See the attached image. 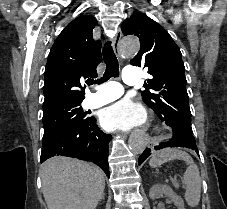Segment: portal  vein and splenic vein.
<instances>
[{
	"label": "portal vein and splenic vein",
	"mask_w": 227,
	"mask_h": 209,
	"mask_svg": "<svg viewBox=\"0 0 227 209\" xmlns=\"http://www.w3.org/2000/svg\"><path fill=\"white\" fill-rule=\"evenodd\" d=\"M172 184H173L174 186H176L178 189L180 188V187L178 186V182H177L176 180H173V181H172Z\"/></svg>",
	"instance_id": "18ae733b"
}]
</instances>
